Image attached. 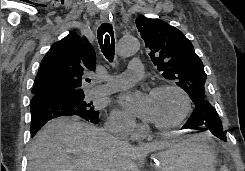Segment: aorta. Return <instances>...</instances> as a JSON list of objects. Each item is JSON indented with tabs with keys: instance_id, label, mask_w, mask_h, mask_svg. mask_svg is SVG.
Here are the masks:
<instances>
[{
	"instance_id": "762f6f07",
	"label": "aorta",
	"mask_w": 245,
	"mask_h": 171,
	"mask_svg": "<svg viewBox=\"0 0 245 171\" xmlns=\"http://www.w3.org/2000/svg\"><path fill=\"white\" fill-rule=\"evenodd\" d=\"M139 41L133 36L123 37L117 44V56L127 58L137 53L139 50Z\"/></svg>"
}]
</instances>
